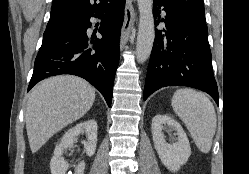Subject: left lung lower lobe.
<instances>
[{
    "instance_id": "0a47b994",
    "label": "left lung lower lobe",
    "mask_w": 249,
    "mask_h": 174,
    "mask_svg": "<svg viewBox=\"0 0 249 174\" xmlns=\"http://www.w3.org/2000/svg\"><path fill=\"white\" fill-rule=\"evenodd\" d=\"M160 9L165 14L161 20ZM153 15L155 26L164 21L166 29L156 30L144 100L162 87L178 85L205 91L219 104L206 23L182 15L164 0H154Z\"/></svg>"
}]
</instances>
